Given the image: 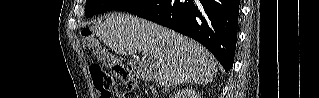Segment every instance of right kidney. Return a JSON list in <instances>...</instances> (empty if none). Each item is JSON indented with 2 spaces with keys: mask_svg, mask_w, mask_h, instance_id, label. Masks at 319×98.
Masks as SVG:
<instances>
[{
  "mask_svg": "<svg viewBox=\"0 0 319 98\" xmlns=\"http://www.w3.org/2000/svg\"><path fill=\"white\" fill-rule=\"evenodd\" d=\"M192 96H195V94H191ZM183 96V95H182ZM184 97V96H183ZM196 97H200V96H196Z\"/></svg>",
  "mask_w": 319,
  "mask_h": 98,
  "instance_id": "obj_1",
  "label": "right kidney"
}]
</instances>
